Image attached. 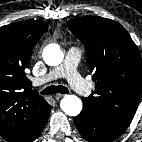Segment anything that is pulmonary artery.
Masks as SVG:
<instances>
[{
    "instance_id": "1",
    "label": "pulmonary artery",
    "mask_w": 142,
    "mask_h": 142,
    "mask_svg": "<svg viewBox=\"0 0 142 142\" xmlns=\"http://www.w3.org/2000/svg\"><path fill=\"white\" fill-rule=\"evenodd\" d=\"M82 50L78 47L68 49L65 59L59 66L50 70L44 77L36 79L37 84H43L58 78H66L71 87L79 94L88 96L91 93L90 85L77 71Z\"/></svg>"
}]
</instances>
